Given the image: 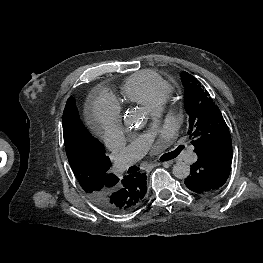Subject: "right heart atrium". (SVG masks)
Segmentation results:
<instances>
[{
    "instance_id": "1",
    "label": "right heart atrium",
    "mask_w": 263,
    "mask_h": 263,
    "mask_svg": "<svg viewBox=\"0 0 263 263\" xmlns=\"http://www.w3.org/2000/svg\"><path fill=\"white\" fill-rule=\"evenodd\" d=\"M91 117L105 141L110 140L120 130L121 108L110 94L102 92L95 97Z\"/></svg>"
}]
</instances>
